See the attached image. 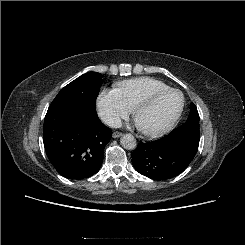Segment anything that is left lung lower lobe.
Wrapping results in <instances>:
<instances>
[{
	"label": "left lung lower lobe",
	"instance_id": "0a47b994",
	"mask_svg": "<svg viewBox=\"0 0 245 245\" xmlns=\"http://www.w3.org/2000/svg\"><path fill=\"white\" fill-rule=\"evenodd\" d=\"M200 137L167 135L156 141L139 143L131 153L135 169L153 180L171 179L183 172L194 158Z\"/></svg>",
	"mask_w": 245,
	"mask_h": 245
}]
</instances>
